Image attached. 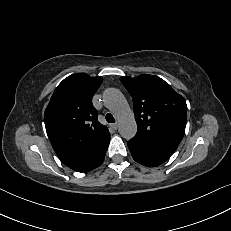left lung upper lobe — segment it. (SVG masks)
<instances>
[{
	"label": "left lung upper lobe",
	"mask_w": 231,
	"mask_h": 231,
	"mask_svg": "<svg viewBox=\"0 0 231 231\" xmlns=\"http://www.w3.org/2000/svg\"><path fill=\"white\" fill-rule=\"evenodd\" d=\"M120 80L133 98L138 126L133 139L174 152L185 131L187 105L184 98L157 76L143 74Z\"/></svg>",
	"instance_id": "left-lung-upper-lobe-1"
}]
</instances>
